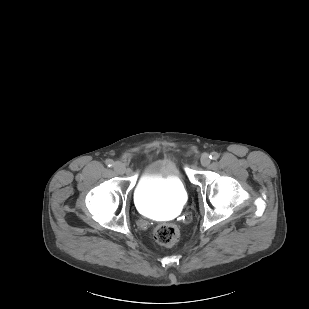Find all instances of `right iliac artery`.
Here are the masks:
<instances>
[{
	"mask_svg": "<svg viewBox=\"0 0 309 309\" xmlns=\"http://www.w3.org/2000/svg\"><path fill=\"white\" fill-rule=\"evenodd\" d=\"M106 165H107L108 167H112V166L114 165V161L111 160V159H108V160H106Z\"/></svg>",
	"mask_w": 309,
	"mask_h": 309,
	"instance_id": "1",
	"label": "right iliac artery"
}]
</instances>
